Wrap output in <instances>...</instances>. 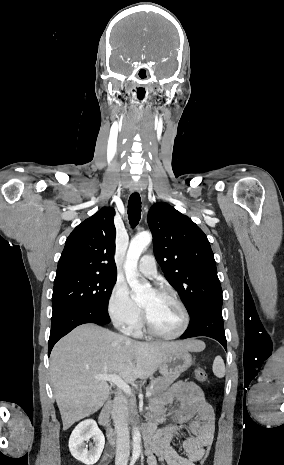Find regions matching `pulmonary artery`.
Wrapping results in <instances>:
<instances>
[{
	"label": "pulmonary artery",
	"instance_id": "pulmonary-artery-1",
	"mask_svg": "<svg viewBox=\"0 0 284 465\" xmlns=\"http://www.w3.org/2000/svg\"><path fill=\"white\" fill-rule=\"evenodd\" d=\"M155 260L154 254H143L137 267L139 274L149 278L154 277L157 273Z\"/></svg>",
	"mask_w": 284,
	"mask_h": 465
}]
</instances>
